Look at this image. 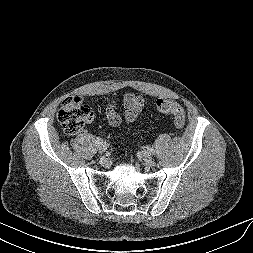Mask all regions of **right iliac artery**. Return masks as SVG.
Listing matches in <instances>:
<instances>
[{"label":"right iliac artery","mask_w":253,"mask_h":253,"mask_svg":"<svg viewBox=\"0 0 253 253\" xmlns=\"http://www.w3.org/2000/svg\"><path fill=\"white\" fill-rule=\"evenodd\" d=\"M95 142H96V144H102L103 143V140L101 139V138H97L96 140H95Z\"/></svg>","instance_id":"right-iliac-artery-1"}]
</instances>
